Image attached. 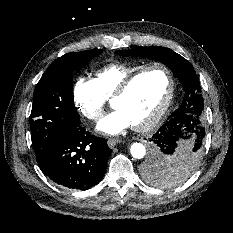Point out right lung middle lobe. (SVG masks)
<instances>
[{
    "label": "right lung middle lobe",
    "mask_w": 233,
    "mask_h": 233,
    "mask_svg": "<svg viewBox=\"0 0 233 233\" xmlns=\"http://www.w3.org/2000/svg\"><path fill=\"white\" fill-rule=\"evenodd\" d=\"M100 53L102 50H88L63 55L50 64L35 88L30 128L39 165L61 133L80 124L74 106L72 74Z\"/></svg>",
    "instance_id": "1"
}]
</instances>
